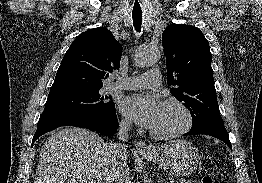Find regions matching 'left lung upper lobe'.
Listing matches in <instances>:
<instances>
[{
    "mask_svg": "<svg viewBox=\"0 0 262 183\" xmlns=\"http://www.w3.org/2000/svg\"><path fill=\"white\" fill-rule=\"evenodd\" d=\"M170 92L189 109L191 130L224 122L214 87L209 43L196 27L170 24L162 35Z\"/></svg>",
    "mask_w": 262,
    "mask_h": 183,
    "instance_id": "1",
    "label": "left lung upper lobe"
}]
</instances>
